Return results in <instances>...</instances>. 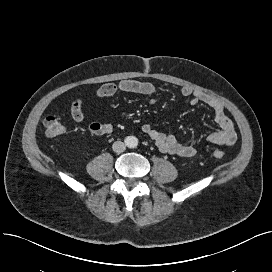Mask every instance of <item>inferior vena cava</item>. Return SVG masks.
Masks as SVG:
<instances>
[{
	"mask_svg": "<svg viewBox=\"0 0 272 272\" xmlns=\"http://www.w3.org/2000/svg\"><path fill=\"white\" fill-rule=\"evenodd\" d=\"M113 151L116 153H122L126 149V145L122 141H116L112 145Z\"/></svg>",
	"mask_w": 272,
	"mask_h": 272,
	"instance_id": "obj_1",
	"label": "inferior vena cava"
}]
</instances>
